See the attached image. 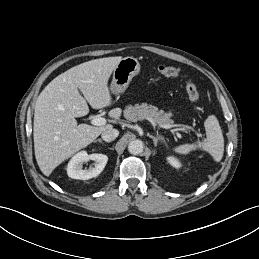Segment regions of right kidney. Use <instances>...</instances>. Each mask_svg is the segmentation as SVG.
Returning a JSON list of instances; mask_svg holds the SVG:
<instances>
[{
  "label": "right kidney",
  "instance_id": "right-kidney-1",
  "mask_svg": "<svg viewBox=\"0 0 259 259\" xmlns=\"http://www.w3.org/2000/svg\"><path fill=\"white\" fill-rule=\"evenodd\" d=\"M89 160L94 161V166L89 169H82L84 162ZM108 157L104 154H87L86 151H81L75 154L68 163L67 174L70 178L88 180L98 176L106 166Z\"/></svg>",
  "mask_w": 259,
  "mask_h": 259
}]
</instances>
